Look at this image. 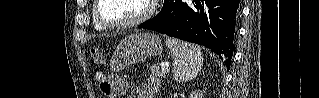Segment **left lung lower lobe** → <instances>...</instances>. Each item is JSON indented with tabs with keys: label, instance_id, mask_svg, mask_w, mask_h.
<instances>
[{
	"label": "left lung lower lobe",
	"instance_id": "obj_1",
	"mask_svg": "<svg viewBox=\"0 0 319 98\" xmlns=\"http://www.w3.org/2000/svg\"><path fill=\"white\" fill-rule=\"evenodd\" d=\"M239 0H165L161 16L139 27L203 45L229 69Z\"/></svg>",
	"mask_w": 319,
	"mask_h": 98
}]
</instances>
